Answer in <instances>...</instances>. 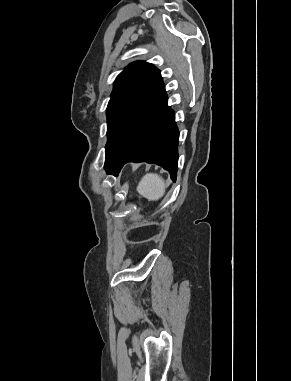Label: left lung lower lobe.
Here are the masks:
<instances>
[{"mask_svg":"<svg viewBox=\"0 0 291 381\" xmlns=\"http://www.w3.org/2000/svg\"><path fill=\"white\" fill-rule=\"evenodd\" d=\"M179 132L167 105L165 87L147 103L105 160L107 173L117 175L127 162L156 163L176 179Z\"/></svg>","mask_w":291,"mask_h":381,"instance_id":"1","label":"left lung lower lobe"}]
</instances>
